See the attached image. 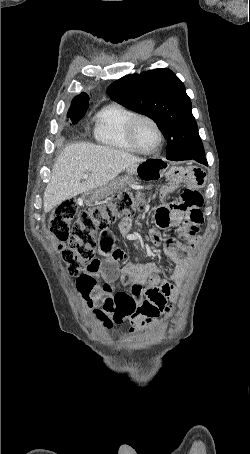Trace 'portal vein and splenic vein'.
<instances>
[{"label": "portal vein and splenic vein", "instance_id": "18ae733b", "mask_svg": "<svg viewBox=\"0 0 250 454\" xmlns=\"http://www.w3.org/2000/svg\"><path fill=\"white\" fill-rule=\"evenodd\" d=\"M83 178H88V174H84V175H83Z\"/></svg>", "mask_w": 250, "mask_h": 454}]
</instances>
